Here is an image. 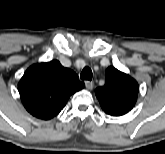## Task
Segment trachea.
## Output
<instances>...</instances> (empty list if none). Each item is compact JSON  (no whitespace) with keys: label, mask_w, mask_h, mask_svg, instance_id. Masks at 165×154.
<instances>
[{"label":"trachea","mask_w":165,"mask_h":154,"mask_svg":"<svg viewBox=\"0 0 165 154\" xmlns=\"http://www.w3.org/2000/svg\"><path fill=\"white\" fill-rule=\"evenodd\" d=\"M80 78L82 80H89L91 81L92 80V70L89 68V67H85L81 74H80Z\"/></svg>","instance_id":"trachea-1"}]
</instances>
